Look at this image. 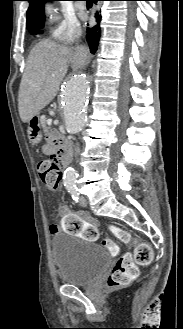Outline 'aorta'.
Masks as SVG:
<instances>
[{
    "label": "aorta",
    "mask_w": 183,
    "mask_h": 329,
    "mask_svg": "<svg viewBox=\"0 0 183 329\" xmlns=\"http://www.w3.org/2000/svg\"><path fill=\"white\" fill-rule=\"evenodd\" d=\"M46 11L50 20H53L55 18L54 9L48 6ZM90 89V79L81 73L71 76L64 85L61 105L64 113L65 129L69 134L80 132L85 125ZM76 181V170L68 167L63 176L64 186L67 188L74 187Z\"/></svg>",
    "instance_id": "1"
}]
</instances>
